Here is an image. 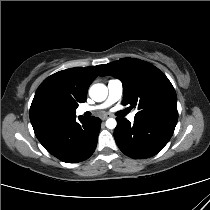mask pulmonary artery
Masks as SVG:
<instances>
[{
	"instance_id": "1",
	"label": "pulmonary artery",
	"mask_w": 210,
	"mask_h": 210,
	"mask_svg": "<svg viewBox=\"0 0 210 210\" xmlns=\"http://www.w3.org/2000/svg\"><path fill=\"white\" fill-rule=\"evenodd\" d=\"M108 88V97L107 99L98 106H82L78 109L79 114H84L86 112H93L95 110L106 108L107 106L111 105L112 103L119 100L123 93V84L119 79H111L108 81L107 84ZM135 118V114L131 113L128 116L130 121H133Z\"/></svg>"
}]
</instances>
